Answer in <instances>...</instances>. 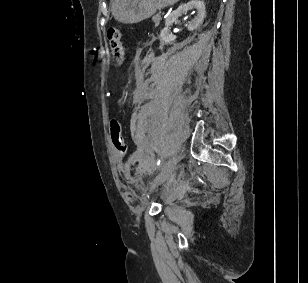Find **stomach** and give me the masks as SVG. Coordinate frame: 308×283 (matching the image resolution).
<instances>
[{
	"label": "stomach",
	"mask_w": 308,
	"mask_h": 283,
	"mask_svg": "<svg viewBox=\"0 0 308 283\" xmlns=\"http://www.w3.org/2000/svg\"><path fill=\"white\" fill-rule=\"evenodd\" d=\"M179 0H112L113 17L124 24H134L151 17L157 10Z\"/></svg>",
	"instance_id": "stomach-1"
}]
</instances>
